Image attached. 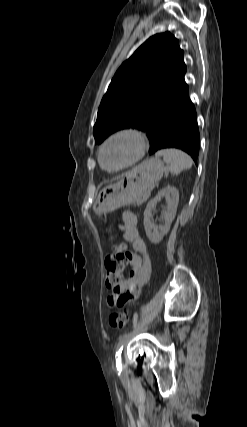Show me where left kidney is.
Segmentation results:
<instances>
[{"label": "left kidney", "mask_w": 247, "mask_h": 427, "mask_svg": "<svg viewBox=\"0 0 247 427\" xmlns=\"http://www.w3.org/2000/svg\"><path fill=\"white\" fill-rule=\"evenodd\" d=\"M165 197L167 202V208L162 212L165 219V224L157 228L152 222V210L155 209L156 204ZM179 202V192L174 186H166L160 190L155 198L150 200L144 211V228L148 239L153 244H159L163 237L167 235L170 230L172 221L175 218L177 206ZM159 229V230H158Z\"/></svg>", "instance_id": "left-kidney-1"}]
</instances>
